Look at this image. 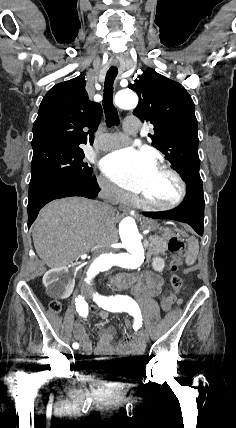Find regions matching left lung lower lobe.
<instances>
[{"label":"left lung lower lobe","instance_id":"0a47b994","mask_svg":"<svg viewBox=\"0 0 236 428\" xmlns=\"http://www.w3.org/2000/svg\"><path fill=\"white\" fill-rule=\"evenodd\" d=\"M204 196L202 185H188L184 202L177 208L162 212H143L153 219H170L189 224L199 235H203Z\"/></svg>","mask_w":236,"mask_h":428}]
</instances>
